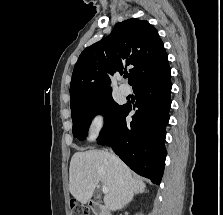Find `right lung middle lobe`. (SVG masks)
I'll return each instance as SVG.
<instances>
[{
    "label": "right lung middle lobe",
    "instance_id": "obj_1",
    "mask_svg": "<svg viewBox=\"0 0 223 215\" xmlns=\"http://www.w3.org/2000/svg\"><path fill=\"white\" fill-rule=\"evenodd\" d=\"M125 108L126 105H118L113 100L112 95L71 108L74 137L84 140L93 116L103 114L105 116V126L98 139L103 138L116 127Z\"/></svg>",
    "mask_w": 223,
    "mask_h": 215
}]
</instances>
